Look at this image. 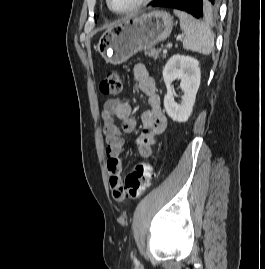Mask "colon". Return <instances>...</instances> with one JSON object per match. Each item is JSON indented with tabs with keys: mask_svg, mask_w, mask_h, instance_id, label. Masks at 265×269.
<instances>
[{
	"mask_svg": "<svg viewBox=\"0 0 265 269\" xmlns=\"http://www.w3.org/2000/svg\"><path fill=\"white\" fill-rule=\"evenodd\" d=\"M123 84L120 74L110 70L101 83L102 93L110 96L121 94ZM153 169L147 163H138L126 176L125 186L119 194L120 200L139 198L150 186Z\"/></svg>",
	"mask_w": 265,
	"mask_h": 269,
	"instance_id": "5ec220e1",
	"label": "colon"
}]
</instances>
